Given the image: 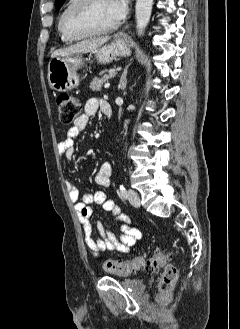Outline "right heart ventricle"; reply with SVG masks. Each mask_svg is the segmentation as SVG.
<instances>
[{
    "label": "right heart ventricle",
    "mask_w": 240,
    "mask_h": 329,
    "mask_svg": "<svg viewBox=\"0 0 240 329\" xmlns=\"http://www.w3.org/2000/svg\"><path fill=\"white\" fill-rule=\"evenodd\" d=\"M74 0H67L66 4L64 5L62 11L60 12V15L58 17V21H57V29L59 32V35L62 39V41L64 42H71L73 41V39L69 38L68 36L65 35V33L62 30V16L65 12V10L73 3Z\"/></svg>",
    "instance_id": "right-heart-ventricle-1"
}]
</instances>
